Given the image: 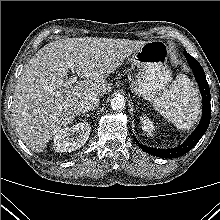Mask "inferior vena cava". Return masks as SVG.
Returning <instances> with one entry per match:
<instances>
[{"mask_svg":"<svg viewBox=\"0 0 220 220\" xmlns=\"http://www.w3.org/2000/svg\"><path fill=\"white\" fill-rule=\"evenodd\" d=\"M100 98L97 95H90L80 102L79 108L83 113L95 110L99 105Z\"/></svg>","mask_w":220,"mask_h":220,"instance_id":"1","label":"inferior vena cava"}]
</instances>
